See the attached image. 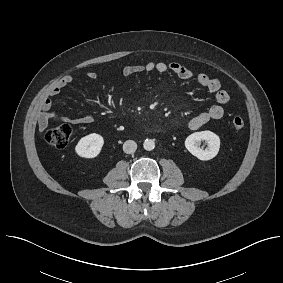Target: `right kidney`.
<instances>
[{"instance_id":"1","label":"right kidney","mask_w":283,"mask_h":283,"mask_svg":"<svg viewBox=\"0 0 283 283\" xmlns=\"http://www.w3.org/2000/svg\"><path fill=\"white\" fill-rule=\"evenodd\" d=\"M104 145V139L97 133L82 137L75 147L76 153L83 158L96 157Z\"/></svg>"}]
</instances>
